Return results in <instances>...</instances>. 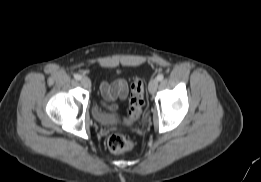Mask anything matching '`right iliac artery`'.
<instances>
[{
  "label": "right iliac artery",
  "mask_w": 261,
  "mask_h": 182,
  "mask_svg": "<svg viewBox=\"0 0 261 182\" xmlns=\"http://www.w3.org/2000/svg\"><path fill=\"white\" fill-rule=\"evenodd\" d=\"M74 78H75L76 80H80V79H81V76H80L79 74H75V75H74Z\"/></svg>",
  "instance_id": "1"
}]
</instances>
